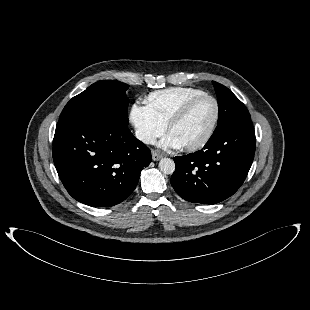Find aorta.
Returning <instances> with one entry per match:
<instances>
[{
    "mask_svg": "<svg viewBox=\"0 0 310 310\" xmlns=\"http://www.w3.org/2000/svg\"><path fill=\"white\" fill-rule=\"evenodd\" d=\"M159 169L164 174H173L175 171V162L170 158H162L159 162Z\"/></svg>",
    "mask_w": 310,
    "mask_h": 310,
    "instance_id": "762f6f07",
    "label": "aorta"
}]
</instances>
